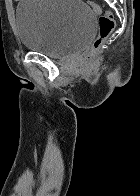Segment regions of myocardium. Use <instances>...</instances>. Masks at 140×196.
I'll list each match as a JSON object with an SVG mask.
<instances>
[{"label":"myocardium","instance_id":"myocardium-1","mask_svg":"<svg viewBox=\"0 0 140 196\" xmlns=\"http://www.w3.org/2000/svg\"><path fill=\"white\" fill-rule=\"evenodd\" d=\"M38 192H44V191H38ZM54 192H62V191H54Z\"/></svg>","mask_w":140,"mask_h":196}]
</instances>
